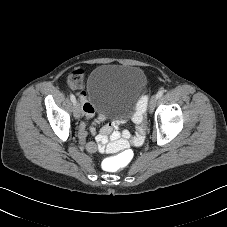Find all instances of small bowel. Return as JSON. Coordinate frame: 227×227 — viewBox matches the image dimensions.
Masks as SVG:
<instances>
[{"mask_svg":"<svg viewBox=\"0 0 227 227\" xmlns=\"http://www.w3.org/2000/svg\"><path fill=\"white\" fill-rule=\"evenodd\" d=\"M77 72L80 77L83 76V71L81 69H79ZM79 96L82 102V109L85 119L92 118L96 114V109L88 101L84 91H81ZM105 120V115L99 114L94 120L93 124L97 125ZM85 130L86 125L83 123L80 126V132L82 135L81 139L85 149L91 153L96 152L97 150L115 152L119 150H125L131 146H140L143 143L146 134L145 130L139 129L135 136H131L127 130L119 131L116 122L105 124L94 140H86L84 138L83 135Z\"/></svg>","mask_w":227,"mask_h":227,"instance_id":"small-bowel-1","label":"small bowel"}]
</instances>
